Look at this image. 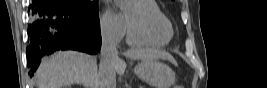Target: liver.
Wrapping results in <instances>:
<instances>
[{"instance_id":"6515ba94","label":"liver","mask_w":267,"mask_h":88,"mask_svg":"<svg viewBox=\"0 0 267 88\" xmlns=\"http://www.w3.org/2000/svg\"><path fill=\"white\" fill-rule=\"evenodd\" d=\"M127 58L141 60H169L173 57L163 51L147 48L130 49L124 53ZM115 72L122 75L126 63L118 58L114 62ZM37 88H62L75 83L87 88H96L98 83V68L96 58L76 51L59 52L45 59L37 72Z\"/></svg>"}]
</instances>
